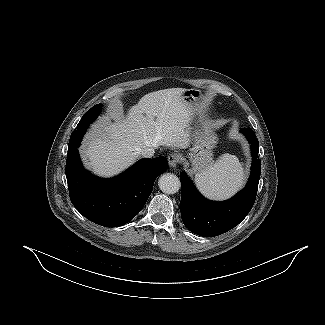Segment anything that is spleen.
Masks as SVG:
<instances>
[{"label":"spleen","instance_id":"3e777b00","mask_svg":"<svg viewBox=\"0 0 325 325\" xmlns=\"http://www.w3.org/2000/svg\"><path fill=\"white\" fill-rule=\"evenodd\" d=\"M243 180L242 164L235 155L228 153L195 175L199 191L213 200L229 198L242 187Z\"/></svg>","mask_w":325,"mask_h":325}]
</instances>
